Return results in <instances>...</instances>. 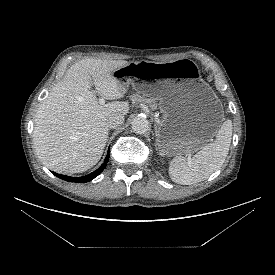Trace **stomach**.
Returning <instances> with one entry per match:
<instances>
[{
  "label": "stomach",
  "instance_id": "stomach-1",
  "mask_svg": "<svg viewBox=\"0 0 275 275\" xmlns=\"http://www.w3.org/2000/svg\"><path fill=\"white\" fill-rule=\"evenodd\" d=\"M113 76L123 87L160 100L163 113L158 140L171 155L194 153L217 133L223 119L222 104L203 81L190 59L169 62H130Z\"/></svg>",
  "mask_w": 275,
  "mask_h": 275
}]
</instances>
